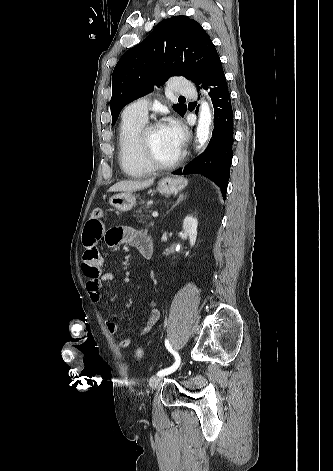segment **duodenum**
<instances>
[{"instance_id": "obj_1", "label": "duodenum", "mask_w": 333, "mask_h": 471, "mask_svg": "<svg viewBox=\"0 0 333 471\" xmlns=\"http://www.w3.org/2000/svg\"><path fill=\"white\" fill-rule=\"evenodd\" d=\"M139 251L144 258L146 259L151 258L153 254L152 240L150 238L144 239L139 246Z\"/></svg>"}]
</instances>
